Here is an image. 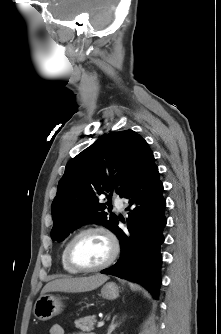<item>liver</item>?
<instances>
[{"instance_id": "liver-1", "label": "liver", "mask_w": 221, "mask_h": 334, "mask_svg": "<svg viewBox=\"0 0 221 334\" xmlns=\"http://www.w3.org/2000/svg\"><path fill=\"white\" fill-rule=\"evenodd\" d=\"M108 276L96 274L88 277L56 279L47 283L41 291V296L47 292H85L91 291L108 280Z\"/></svg>"}]
</instances>
